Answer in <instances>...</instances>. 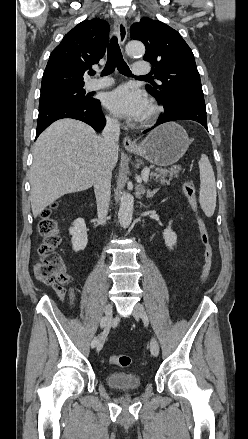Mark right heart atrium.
Returning <instances> with one entry per match:
<instances>
[{
  "mask_svg": "<svg viewBox=\"0 0 248 439\" xmlns=\"http://www.w3.org/2000/svg\"><path fill=\"white\" fill-rule=\"evenodd\" d=\"M107 123L112 127H117L119 125L118 120L113 116L107 117Z\"/></svg>",
  "mask_w": 248,
  "mask_h": 439,
  "instance_id": "obj_1",
  "label": "right heart atrium"
}]
</instances>
